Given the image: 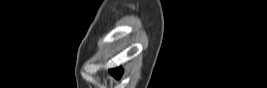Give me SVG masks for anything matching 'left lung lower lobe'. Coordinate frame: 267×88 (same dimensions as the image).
<instances>
[{
	"label": "left lung lower lobe",
	"mask_w": 267,
	"mask_h": 88,
	"mask_svg": "<svg viewBox=\"0 0 267 88\" xmlns=\"http://www.w3.org/2000/svg\"><path fill=\"white\" fill-rule=\"evenodd\" d=\"M122 72L123 70L121 68H116V69H112L110 70V73L115 76L116 78H119L122 76Z\"/></svg>",
	"instance_id": "obj_1"
}]
</instances>
